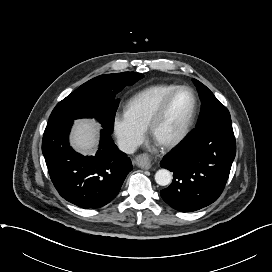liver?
<instances>
[{
	"mask_svg": "<svg viewBox=\"0 0 272 272\" xmlns=\"http://www.w3.org/2000/svg\"><path fill=\"white\" fill-rule=\"evenodd\" d=\"M99 125L90 119L75 121L71 145L82 154L93 153L98 143Z\"/></svg>",
	"mask_w": 272,
	"mask_h": 272,
	"instance_id": "obj_1",
	"label": "liver"
}]
</instances>
